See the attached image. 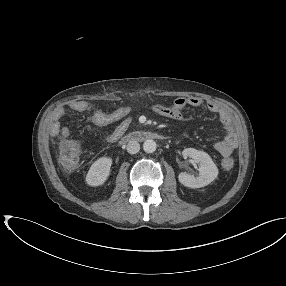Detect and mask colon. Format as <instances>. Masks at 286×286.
I'll use <instances>...</instances> for the list:
<instances>
[{"label": "colon", "instance_id": "obj_1", "mask_svg": "<svg viewBox=\"0 0 286 286\" xmlns=\"http://www.w3.org/2000/svg\"><path fill=\"white\" fill-rule=\"evenodd\" d=\"M79 156L80 150L78 144L67 137H63L59 147V160L61 164L67 169H73L79 161ZM233 164L234 161L232 158H227L223 161L225 169H231Z\"/></svg>", "mask_w": 286, "mask_h": 286}]
</instances>
